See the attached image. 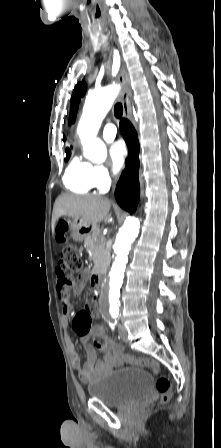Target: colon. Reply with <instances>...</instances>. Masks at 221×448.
<instances>
[{
  "instance_id": "obj_1",
  "label": "colon",
  "mask_w": 221,
  "mask_h": 448,
  "mask_svg": "<svg viewBox=\"0 0 221 448\" xmlns=\"http://www.w3.org/2000/svg\"><path fill=\"white\" fill-rule=\"evenodd\" d=\"M57 237L60 241H69L70 234L65 222H60L58 224ZM79 269L80 263L76 250L70 245H66L61 253V257L57 265L56 280L58 289L64 290L66 287L70 286L71 274ZM89 303L91 308L95 307L94 299L92 297H89ZM88 328L89 326L87 329ZM123 359L127 364L148 367L154 374H158L159 372V365L154 360L136 358L131 355H124ZM155 386L160 395V401L162 403L169 402L172 396L170 380L165 376H160L157 378ZM147 412H149V410H147Z\"/></svg>"
}]
</instances>
